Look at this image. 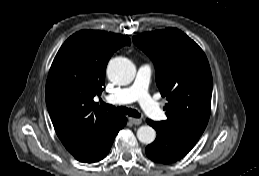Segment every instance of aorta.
<instances>
[{"instance_id": "1", "label": "aorta", "mask_w": 259, "mask_h": 176, "mask_svg": "<svg viewBox=\"0 0 259 176\" xmlns=\"http://www.w3.org/2000/svg\"><path fill=\"white\" fill-rule=\"evenodd\" d=\"M135 73L134 64L124 57L111 59L107 66V76L115 84L127 85L131 83ZM137 138L141 143L151 144L156 138V131L151 126H141L137 130Z\"/></svg>"}]
</instances>
